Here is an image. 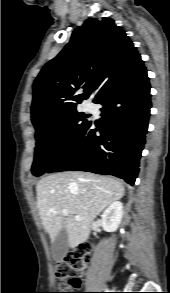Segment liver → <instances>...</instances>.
Here are the masks:
<instances>
[{
	"mask_svg": "<svg viewBox=\"0 0 170 293\" xmlns=\"http://www.w3.org/2000/svg\"><path fill=\"white\" fill-rule=\"evenodd\" d=\"M124 192L119 180L107 176L79 171L50 174L36 185L37 208L51 240L64 228L69 246L75 248L88 240L94 219ZM63 209L69 212L66 218Z\"/></svg>",
	"mask_w": 170,
	"mask_h": 293,
	"instance_id": "liver-1",
	"label": "liver"
}]
</instances>
